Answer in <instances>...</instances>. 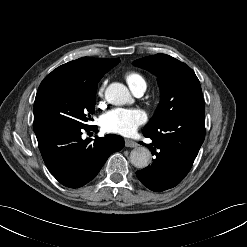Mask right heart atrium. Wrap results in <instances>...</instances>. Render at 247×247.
Here are the masks:
<instances>
[{"mask_svg":"<svg viewBox=\"0 0 247 247\" xmlns=\"http://www.w3.org/2000/svg\"><path fill=\"white\" fill-rule=\"evenodd\" d=\"M103 90H104V85H102L99 89V95H101L103 93Z\"/></svg>","mask_w":247,"mask_h":247,"instance_id":"obj_1","label":"right heart atrium"}]
</instances>
